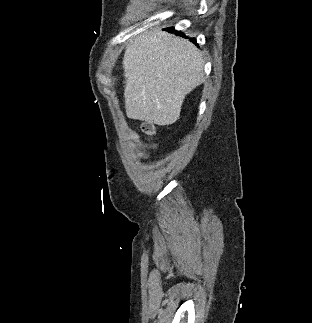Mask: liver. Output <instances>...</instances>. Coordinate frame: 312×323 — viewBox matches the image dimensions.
Returning <instances> with one entry per match:
<instances>
[{"mask_svg": "<svg viewBox=\"0 0 312 323\" xmlns=\"http://www.w3.org/2000/svg\"><path fill=\"white\" fill-rule=\"evenodd\" d=\"M122 64L127 118L157 126L175 124L187 94L204 82L198 48L161 28L133 38Z\"/></svg>", "mask_w": 312, "mask_h": 323, "instance_id": "obj_1", "label": "liver"}]
</instances>
